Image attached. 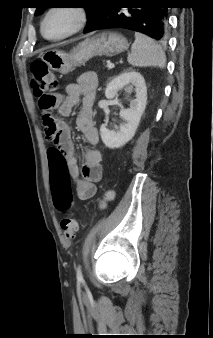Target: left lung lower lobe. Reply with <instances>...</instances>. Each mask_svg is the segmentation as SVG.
I'll list each match as a JSON object with an SVG mask.
<instances>
[{"label": "left lung lower lobe", "instance_id": "1", "mask_svg": "<svg viewBox=\"0 0 213 338\" xmlns=\"http://www.w3.org/2000/svg\"><path fill=\"white\" fill-rule=\"evenodd\" d=\"M160 0H102L100 11L84 33L102 28H124L160 42L167 38V8ZM120 5H131L121 9Z\"/></svg>", "mask_w": 213, "mask_h": 338}]
</instances>
